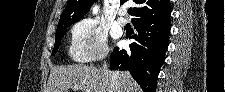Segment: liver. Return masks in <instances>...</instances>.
I'll use <instances>...</instances> for the list:
<instances>
[{
	"mask_svg": "<svg viewBox=\"0 0 225 92\" xmlns=\"http://www.w3.org/2000/svg\"><path fill=\"white\" fill-rule=\"evenodd\" d=\"M116 84H111L112 74ZM74 85L89 88L91 92H140V88L126 71H104L94 66L71 65L51 69L46 92H68ZM78 90V89H77Z\"/></svg>",
	"mask_w": 225,
	"mask_h": 92,
	"instance_id": "obj_1",
	"label": "liver"
}]
</instances>
